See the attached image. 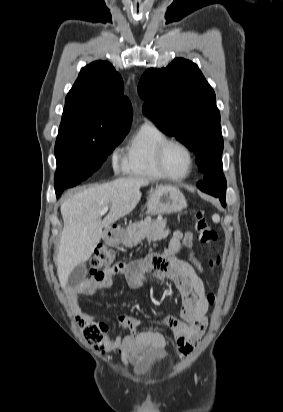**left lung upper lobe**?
<instances>
[{
    "label": "left lung upper lobe",
    "instance_id": "obj_1",
    "mask_svg": "<svg viewBox=\"0 0 283 412\" xmlns=\"http://www.w3.org/2000/svg\"><path fill=\"white\" fill-rule=\"evenodd\" d=\"M146 115L161 120L159 129L178 140L196 155L199 170L205 175L222 158L223 138L220 113L212 87L197 65L183 58L163 69H148L138 86ZM213 196H225L226 180L212 182Z\"/></svg>",
    "mask_w": 283,
    "mask_h": 412
}]
</instances>
